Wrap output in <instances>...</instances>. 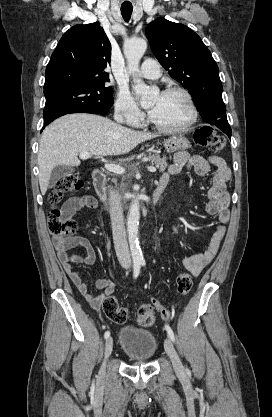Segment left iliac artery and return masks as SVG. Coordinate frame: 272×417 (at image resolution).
I'll return each mask as SVG.
<instances>
[{
	"label": "left iliac artery",
	"instance_id": "left-iliac-artery-1",
	"mask_svg": "<svg viewBox=\"0 0 272 417\" xmlns=\"http://www.w3.org/2000/svg\"><path fill=\"white\" fill-rule=\"evenodd\" d=\"M141 265H145V261H142L141 262ZM165 329H166V331H167V333H168V335H169V337H170V339L174 342L175 341V336H174V333H173V330L170 328V326L169 325H167V324H165Z\"/></svg>",
	"mask_w": 272,
	"mask_h": 417
}]
</instances>
